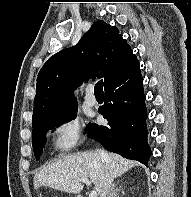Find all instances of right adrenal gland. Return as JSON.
<instances>
[{
	"label": "right adrenal gland",
	"mask_w": 191,
	"mask_h": 197,
	"mask_svg": "<svg viewBox=\"0 0 191 197\" xmlns=\"http://www.w3.org/2000/svg\"><path fill=\"white\" fill-rule=\"evenodd\" d=\"M120 192L121 189L117 187V184H113L108 197H118Z\"/></svg>",
	"instance_id": "obj_1"
}]
</instances>
